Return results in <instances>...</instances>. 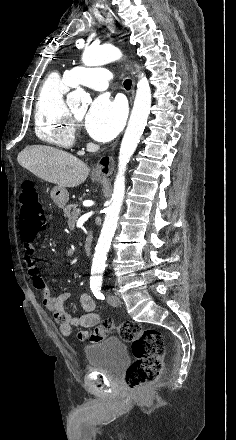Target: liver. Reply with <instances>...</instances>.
I'll list each match as a JSON object with an SVG mask.
<instances>
[{"mask_svg":"<svg viewBox=\"0 0 236 440\" xmlns=\"http://www.w3.org/2000/svg\"><path fill=\"white\" fill-rule=\"evenodd\" d=\"M17 161L38 178L62 188L79 186L90 172L89 167L74 155L44 145L26 147Z\"/></svg>","mask_w":236,"mask_h":440,"instance_id":"obj_1","label":"liver"}]
</instances>
